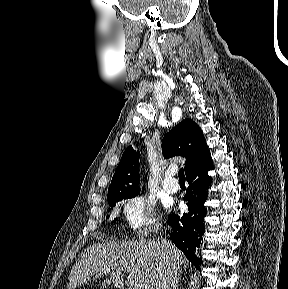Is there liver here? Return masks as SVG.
<instances>
[{"label":"liver","instance_id":"liver-1","mask_svg":"<svg viewBox=\"0 0 288 289\" xmlns=\"http://www.w3.org/2000/svg\"><path fill=\"white\" fill-rule=\"evenodd\" d=\"M174 257L179 264L185 256L172 243ZM164 270L161 244L157 241H109L88 246L74 264L67 289L87 284L94 274H110L102 285L124 286L122 272H127V289H159Z\"/></svg>","mask_w":288,"mask_h":289}]
</instances>
